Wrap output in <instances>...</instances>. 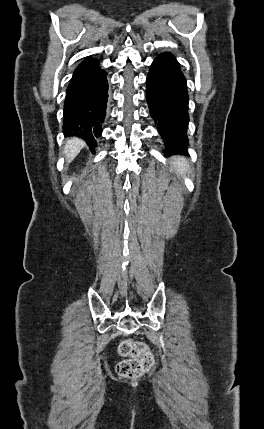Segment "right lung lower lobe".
I'll list each match as a JSON object with an SVG mask.
<instances>
[{
  "label": "right lung lower lobe",
  "mask_w": 264,
  "mask_h": 429,
  "mask_svg": "<svg viewBox=\"0 0 264 429\" xmlns=\"http://www.w3.org/2000/svg\"><path fill=\"white\" fill-rule=\"evenodd\" d=\"M87 58L74 71L66 91L63 132L84 139L93 151L101 136L108 100L107 73Z\"/></svg>",
  "instance_id": "obj_1"
}]
</instances>
